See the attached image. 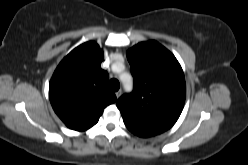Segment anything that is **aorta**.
Masks as SVG:
<instances>
[{"label": "aorta", "mask_w": 248, "mask_h": 165, "mask_svg": "<svg viewBox=\"0 0 248 165\" xmlns=\"http://www.w3.org/2000/svg\"><path fill=\"white\" fill-rule=\"evenodd\" d=\"M121 81L124 84L126 90H130L132 88V77L128 73H124L120 76Z\"/></svg>", "instance_id": "obj_1"}]
</instances>
